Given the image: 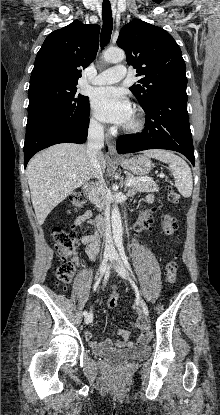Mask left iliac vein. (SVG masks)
I'll use <instances>...</instances> for the list:
<instances>
[{"label":"left iliac vein","instance_id":"left-iliac-vein-1","mask_svg":"<svg viewBox=\"0 0 220 415\" xmlns=\"http://www.w3.org/2000/svg\"><path fill=\"white\" fill-rule=\"evenodd\" d=\"M111 260H112V262L114 263V266H115V269H116V271H117V273L123 278V279H125L126 281H128L129 282V284L133 287V289L135 290V292H136V295H137V300H138V303H139V305L141 306V308H142V310H143V313L145 314V316L147 317L148 315H146V311H148V307H147V305H146V303H145V301L143 300V298L141 297V295L139 294V292H138V290H137V288H136V286H135V284L133 283V281H132V279H131V277H130V274H129V271L126 269V267L123 265V263H122V261H121V258H120V256H119V254L117 253V251L116 250H113L112 251V255H111Z\"/></svg>","mask_w":220,"mask_h":415}]
</instances>
